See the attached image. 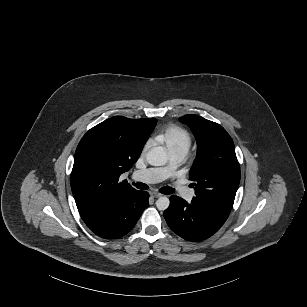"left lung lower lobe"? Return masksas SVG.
I'll return each instance as SVG.
<instances>
[{
	"instance_id": "1",
	"label": "left lung lower lobe",
	"mask_w": 307,
	"mask_h": 307,
	"mask_svg": "<svg viewBox=\"0 0 307 307\" xmlns=\"http://www.w3.org/2000/svg\"><path fill=\"white\" fill-rule=\"evenodd\" d=\"M164 218L171 230L190 241H201L212 236L226 221L193 203L188 204L178 196L170 197Z\"/></svg>"
}]
</instances>
